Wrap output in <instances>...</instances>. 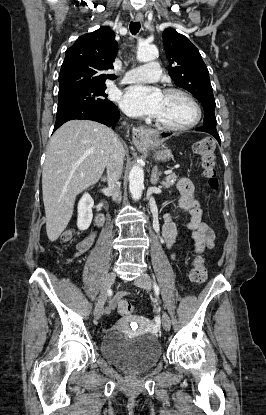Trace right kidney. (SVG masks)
Instances as JSON below:
<instances>
[{"instance_id": "1", "label": "right kidney", "mask_w": 266, "mask_h": 415, "mask_svg": "<svg viewBox=\"0 0 266 415\" xmlns=\"http://www.w3.org/2000/svg\"><path fill=\"white\" fill-rule=\"evenodd\" d=\"M94 201L88 193H84L82 198L78 203V217H77V226L80 230H86L89 228L93 214L92 208Z\"/></svg>"}]
</instances>
